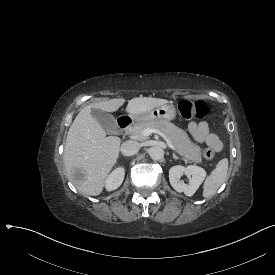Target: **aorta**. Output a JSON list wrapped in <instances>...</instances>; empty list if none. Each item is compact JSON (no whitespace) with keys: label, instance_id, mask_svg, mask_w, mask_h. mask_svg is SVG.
<instances>
[{"label":"aorta","instance_id":"aorta-1","mask_svg":"<svg viewBox=\"0 0 275 275\" xmlns=\"http://www.w3.org/2000/svg\"><path fill=\"white\" fill-rule=\"evenodd\" d=\"M149 155L153 160H160L164 156V151L159 146H153L149 149Z\"/></svg>","mask_w":275,"mask_h":275}]
</instances>
